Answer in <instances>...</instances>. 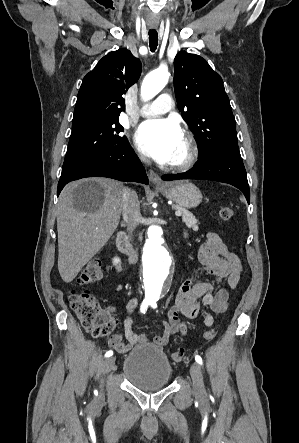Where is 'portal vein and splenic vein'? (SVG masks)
Masks as SVG:
<instances>
[{
	"label": "portal vein and splenic vein",
	"mask_w": 299,
	"mask_h": 443,
	"mask_svg": "<svg viewBox=\"0 0 299 443\" xmlns=\"http://www.w3.org/2000/svg\"><path fill=\"white\" fill-rule=\"evenodd\" d=\"M175 215H176L177 217H180V216H182V213H181L180 211H176V212H175Z\"/></svg>",
	"instance_id": "1"
}]
</instances>
